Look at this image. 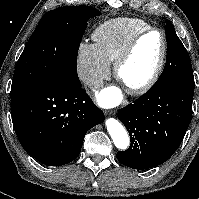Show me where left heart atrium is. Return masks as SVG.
<instances>
[{
	"label": "left heart atrium",
	"mask_w": 199,
	"mask_h": 199,
	"mask_svg": "<svg viewBox=\"0 0 199 199\" xmlns=\"http://www.w3.org/2000/svg\"><path fill=\"white\" fill-rule=\"evenodd\" d=\"M122 100V92L115 86H110L103 89L97 95L98 103L105 108H111L118 105Z\"/></svg>",
	"instance_id": "left-heart-atrium-1"
}]
</instances>
